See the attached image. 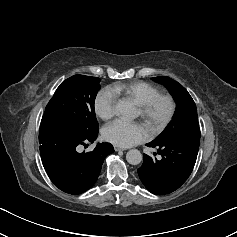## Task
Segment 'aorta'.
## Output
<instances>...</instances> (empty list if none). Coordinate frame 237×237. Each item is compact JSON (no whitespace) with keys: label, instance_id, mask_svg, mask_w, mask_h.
Returning <instances> with one entry per match:
<instances>
[{"label":"aorta","instance_id":"762f6f07","mask_svg":"<svg viewBox=\"0 0 237 237\" xmlns=\"http://www.w3.org/2000/svg\"><path fill=\"white\" fill-rule=\"evenodd\" d=\"M116 109L126 120H131L134 118V111L128 103L120 102L116 106ZM142 158L143 156L141 152L137 149H131L126 154V160L131 165H138L142 161Z\"/></svg>","mask_w":237,"mask_h":237}]
</instances>
